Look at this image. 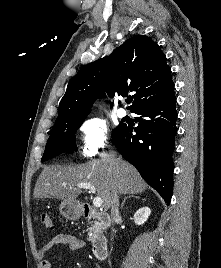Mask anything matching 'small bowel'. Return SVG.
Listing matches in <instances>:
<instances>
[{
  "mask_svg": "<svg viewBox=\"0 0 221 268\" xmlns=\"http://www.w3.org/2000/svg\"><path fill=\"white\" fill-rule=\"evenodd\" d=\"M63 245L67 246L73 250L82 249L85 243L76 237L75 235L69 233H57L48 242H46L38 251V257L40 259L41 268H52V265L48 259H46V254L55 246Z\"/></svg>",
  "mask_w": 221,
  "mask_h": 268,
  "instance_id": "obj_1",
  "label": "small bowel"
}]
</instances>
